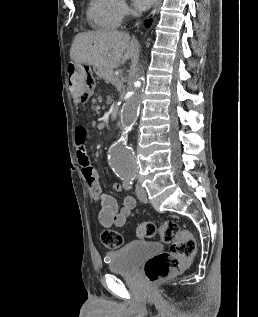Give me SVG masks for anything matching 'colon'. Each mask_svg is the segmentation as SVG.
<instances>
[{
  "label": "colon",
  "mask_w": 258,
  "mask_h": 317,
  "mask_svg": "<svg viewBox=\"0 0 258 317\" xmlns=\"http://www.w3.org/2000/svg\"><path fill=\"white\" fill-rule=\"evenodd\" d=\"M95 78L91 71L83 70L80 96L88 99L95 90ZM136 234L141 239H151L159 235L161 240L169 245V250L150 258L144 268L148 283L154 284L170 274L184 269L187 263L194 257L197 245L191 233L182 229L176 221L168 220L160 225L152 222H144L137 226ZM101 240L105 247L116 249L122 246V235L114 230H105L101 234Z\"/></svg>",
  "instance_id": "1"
}]
</instances>
